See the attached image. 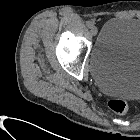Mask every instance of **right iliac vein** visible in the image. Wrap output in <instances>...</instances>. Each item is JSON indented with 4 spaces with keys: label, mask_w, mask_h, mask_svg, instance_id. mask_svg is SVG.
<instances>
[{
    "label": "right iliac vein",
    "mask_w": 140,
    "mask_h": 140,
    "mask_svg": "<svg viewBox=\"0 0 140 140\" xmlns=\"http://www.w3.org/2000/svg\"><path fill=\"white\" fill-rule=\"evenodd\" d=\"M97 32H98V29H97V27H92L91 28V34L93 35V36H95L96 34H97Z\"/></svg>",
    "instance_id": "63e3f726"
}]
</instances>
